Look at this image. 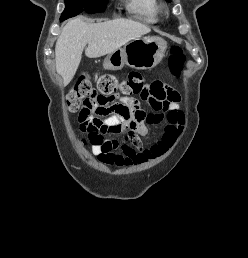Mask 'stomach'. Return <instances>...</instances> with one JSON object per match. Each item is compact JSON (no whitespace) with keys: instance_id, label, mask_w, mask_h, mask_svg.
<instances>
[{"instance_id":"1","label":"stomach","mask_w":248,"mask_h":258,"mask_svg":"<svg viewBox=\"0 0 248 258\" xmlns=\"http://www.w3.org/2000/svg\"><path fill=\"white\" fill-rule=\"evenodd\" d=\"M166 49L167 43L160 37L136 38L108 54L103 66L108 70H120L125 65L138 70L152 69L161 62Z\"/></svg>"}]
</instances>
